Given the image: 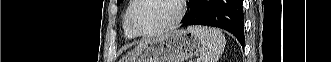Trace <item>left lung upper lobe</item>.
Returning a JSON list of instances; mask_svg holds the SVG:
<instances>
[{
    "instance_id": "left-lung-upper-lobe-1",
    "label": "left lung upper lobe",
    "mask_w": 331,
    "mask_h": 62,
    "mask_svg": "<svg viewBox=\"0 0 331 62\" xmlns=\"http://www.w3.org/2000/svg\"><path fill=\"white\" fill-rule=\"evenodd\" d=\"M122 0H117V3H120Z\"/></svg>"
}]
</instances>
